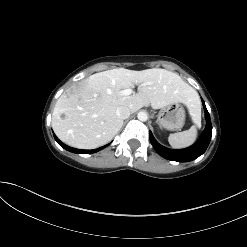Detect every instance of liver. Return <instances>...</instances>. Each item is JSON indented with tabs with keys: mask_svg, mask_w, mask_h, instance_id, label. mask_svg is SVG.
Listing matches in <instances>:
<instances>
[{
	"mask_svg": "<svg viewBox=\"0 0 247 247\" xmlns=\"http://www.w3.org/2000/svg\"><path fill=\"white\" fill-rule=\"evenodd\" d=\"M137 84L138 93L120 94ZM174 103L189 109L198 104L197 94L178 74L160 68H116L93 74L67 89L55 104L52 127L64 143L93 149L111 141L122 127L123 121L116 115L118 107L126 106L134 113L144 106L161 109Z\"/></svg>",
	"mask_w": 247,
	"mask_h": 247,
	"instance_id": "6515ba94",
	"label": "liver"
}]
</instances>
